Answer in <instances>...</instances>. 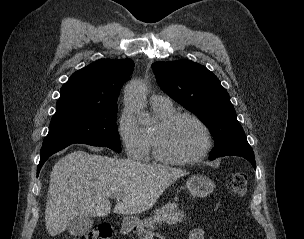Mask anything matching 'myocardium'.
<instances>
[{"label":"myocardium","instance_id":"1","mask_svg":"<svg viewBox=\"0 0 304 239\" xmlns=\"http://www.w3.org/2000/svg\"><path fill=\"white\" fill-rule=\"evenodd\" d=\"M182 118L191 119L199 125V127L203 131L205 143L203 148L197 154L189 157L180 158L169 155L165 151L163 144H164V139L167 133L169 132V130L177 121H179ZM212 143L213 142H212L211 131L209 127L206 125V123L200 117H198L197 115L191 112L176 111L170 116H168L166 119H164L157 127L154 135L153 152L155 158L160 162L166 164H172V165H187L202 160L212 148Z\"/></svg>","mask_w":304,"mask_h":239}]
</instances>
